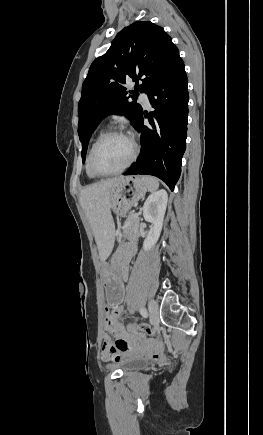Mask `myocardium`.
<instances>
[{
    "instance_id": "myocardium-1",
    "label": "myocardium",
    "mask_w": 263,
    "mask_h": 435,
    "mask_svg": "<svg viewBox=\"0 0 263 435\" xmlns=\"http://www.w3.org/2000/svg\"><path fill=\"white\" fill-rule=\"evenodd\" d=\"M112 136H123L126 137L128 139L131 140L132 142V153L129 157V159L127 160V162L120 168L113 170V171H101L99 170L94 163V155L95 152L98 148V146L107 138L112 137ZM138 154V145L135 142V140L129 136L126 132H124L123 130L120 129H110L104 133H102L97 139L96 141L93 143L90 152H89V156H88V164H89V168L90 170L96 174L97 176H111V175H116L119 173H122L123 171H125L127 168H129L131 166V164L134 162V160L136 159Z\"/></svg>"
}]
</instances>
